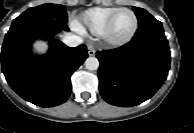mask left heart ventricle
<instances>
[{"label": "left heart ventricle", "instance_id": "1", "mask_svg": "<svg viewBox=\"0 0 194 133\" xmlns=\"http://www.w3.org/2000/svg\"><path fill=\"white\" fill-rule=\"evenodd\" d=\"M134 26V17L129 12H121L115 19L110 35L114 39H123L127 37Z\"/></svg>", "mask_w": 194, "mask_h": 133}]
</instances>
